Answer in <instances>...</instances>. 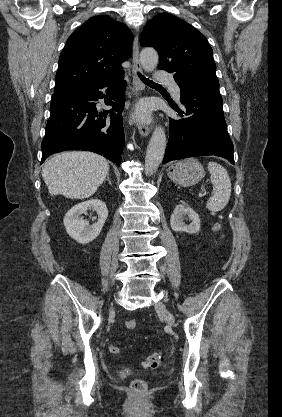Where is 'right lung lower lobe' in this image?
Here are the masks:
<instances>
[{"label":"right lung lower lobe","instance_id":"obj_1","mask_svg":"<svg viewBox=\"0 0 282 417\" xmlns=\"http://www.w3.org/2000/svg\"><path fill=\"white\" fill-rule=\"evenodd\" d=\"M107 88L106 105L111 110L104 112V119H96V101L105 97L99 89ZM126 81L123 74L116 78L69 89L52 95L50 118L42 141L41 163L51 154L65 150H89L121 164L124 148L123 121L119 114L125 103ZM107 98V96H106Z\"/></svg>","mask_w":282,"mask_h":417}]
</instances>
